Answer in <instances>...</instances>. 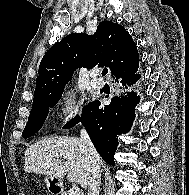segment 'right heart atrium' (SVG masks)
Here are the masks:
<instances>
[{
    "instance_id": "1",
    "label": "right heart atrium",
    "mask_w": 189,
    "mask_h": 195,
    "mask_svg": "<svg viewBox=\"0 0 189 195\" xmlns=\"http://www.w3.org/2000/svg\"><path fill=\"white\" fill-rule=\"evenodd\" d=\"M57 110L63 124H69L78 117V97L73 90L66 89L62 92L57 102Z\"/></svg>"
}]
</instances>
